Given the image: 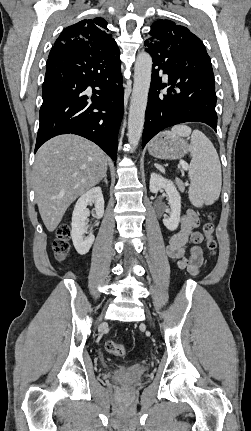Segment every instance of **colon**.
<instances>
[{
    "mask_svg": "<svg viewBox=\"0 0 251 431\" xmlns=\"http://www.w3.org/2000/svg\"><path fill=\"white\" fill-rule=\"evenodd\" d=\"M214 215L208 216L207 222L203 225L202 231L206 237V247L210 254H214L217 248V242L214 238ZM70 227L68 224H61L56 231V238L53 242V251L57 260H62L70 251ZM105 349L108 353L122 357L126 350L123 344L109 340L105 343Z\"/></svg>",
    "mask_w": 251,
    "mask_h": 431,
    "instance_id": "1",
    "label": "colon"
}]
</instances>
